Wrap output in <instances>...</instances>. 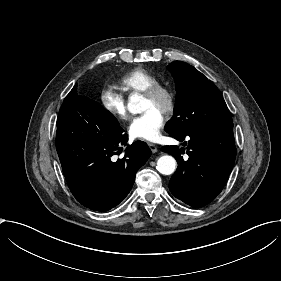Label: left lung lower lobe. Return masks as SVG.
<instances>
[{
	"label": "left lung lower lobe",
	"instance_id": "0a47b994",
	"mask_svg": "<svg viewBox=\"0 0 281 281\" xmlns=\"http://www.w3.org/2000/svg\"><path fill=\"white\" fill-rule=\"evenodd\" d=\"M174 137L179 141L189 139L182 144L188 145L189 159L184 161L181 156L184 148H161L178 162L169 182L170 191L194 208L203 207L221 192L233 168L236 156L233 124L197 129Z\"/></svg>",
	"mask_w": 281,
	"mask_h": 281
}]
</instances>
